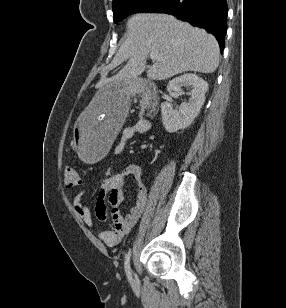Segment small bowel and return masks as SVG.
<instances>
[{
    "label": "small bowel",
    "instance_id": "1",
    "mask_svg": "<svg viewBox=\"0 0 286 308\" xmlns=\"http://www.w3.org/2000/svg\"><path fill=\"white\" fill-rule=\"evenodd\" d=\"M152 124L148 120H139L133 127L124 128L122 131V142L116 149L117 154L124 150L125 142L135 134L147 133L151 130ZM136 181V204L130 212L121 216L118 206L125 198V188L128 179ZM86 190H82L73 198V207L86 225L92 226L94 219L91 211L85 204ZM147 202V188L143 179L142 169L137 164L127 165L122 172L106 179L100 188L99 196L95 206L96 217L105 221L109 217L113 221V227L99 233L100 239L107 246H116L122 238L131 231L142 217ZM110 208V210H109Z\"/></svg>",
    "mask_w": 286,
    "mask_h": 308
}]
</instances>
